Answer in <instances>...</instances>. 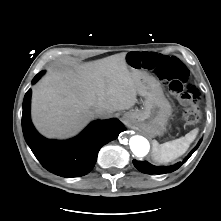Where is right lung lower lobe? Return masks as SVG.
<instances>
[{
  "mask_svg": "<svg viewBox=\"0 0 221 221\" xmlns=\"http://www.w3.org/2000/svg\"><path fill=\"white\" fill-rule=\"evenodd\" d=\"M44 74L38 73L34 84ZM31 89L23 101L22 129L32 152L48 171L62 177H78L89 173L94 167L100 148L116 139L125 127L117 119L95 121L80 135L67 141L48 140L42 137L30 119Z\"/></svg>",
  "mask_w": 221,
  "mask_h": 221,
  "instance_id": "right-lung-lower-lobe-1",
  "label": "right lung lower lobe"
}]
</instances>
